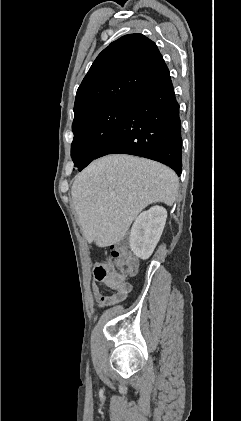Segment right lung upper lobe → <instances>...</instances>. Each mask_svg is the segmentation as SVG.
I'll return each instance as SVG.
<instances>
[{"label":"right lung upper lobe","mask_w":241,"mask_h":421,"mask_svg":"<svg viewBox=\"0 0 241 421\" xmlns=\"http://www.w3.org/2000/svg\"><path fill=\"white\" fill-rule=\"evenodd\" d=\"M166 67L156 44L142 34H128L112 42L95 59L77 90L74 120L130 100Z\"/></svg>","instance_id":"cb5924a9"}]
</instances>
